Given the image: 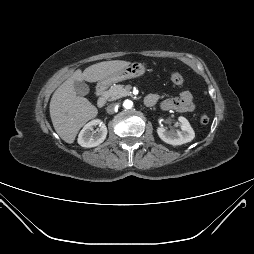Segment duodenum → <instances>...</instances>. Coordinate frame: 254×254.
<instances>
[{"label": "duodenum", "instance_id": "duodenum-1", "mask_svg": "<svg viewBox=\"0 0 254 254\" xmlns=\"http://www.w3.org/2000/svg\"><path fill=\"white\" fill-rule=\"evenodd\" d=\"M145 104L147 106H153L152 101L149 98H145ZM106 104L105 87L99 86L97 89V106L102 108Z\"/></svg>", "mask_w": 254, "mask_h": 254}]
</instances>
